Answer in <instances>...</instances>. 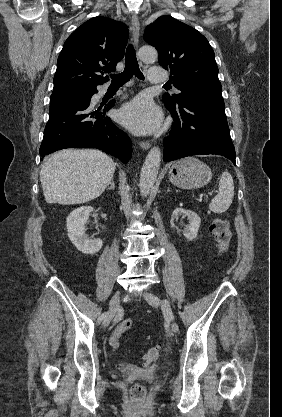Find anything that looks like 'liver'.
Returning a JSON list of instances; mask_svg holds the SVG:
<instances>
[{
	"mask_svg": "<svg viewBox=\"0 0 282 417\" xmlns=\"http://www.w3.org/2000/svg\"><path fill=\"white\" fill-rule=\"evenodd\" d=\"M116 162L101 150L63 148L40 170L46 202L80 204L102 194L115 172Z\"/></svg>",
	"mask_w": 282,
	"mask_h": 417,
	"instance_id": "6515ba94",
	"label": "liver"
}]
</instances>
